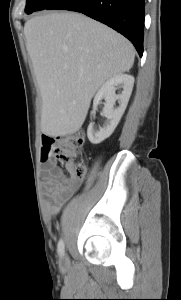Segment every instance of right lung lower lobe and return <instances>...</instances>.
Masks as SVG:
<instances>
[{"label": "right lung lower lobe", "instance_id": "1", "mask_svg": "<svg viewBox=\"0 0 181 300\" xmlns=\"http://www.w3.org/2000/svg\"><path fill=\"white\" fill-rule=\"evenodd\" d=\"M144 0H55L46 10L81 12L128 38L143 55Z\"/></svg>", "mask_w": 181, "mask_h": 300}]
</instances>
